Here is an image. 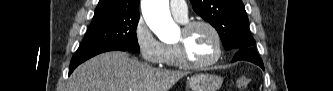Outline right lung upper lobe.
<instances>
[{
	"instance_id": "cb5924a9",
	"label": "right lung upper lobe",
	"mask_w": 333,
	"mask_h": 91,
	"mask_svg": "<svg viewBox=\"0 0 333 91\" xmlns=\"http://www.w3.org/2000/svg\"><path fill=\"white\" fill-rule=\"evenodd\" d=\"M120 14H139V0H100L93 18Z\"/></svg>"
}]
</instances>
